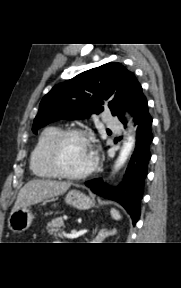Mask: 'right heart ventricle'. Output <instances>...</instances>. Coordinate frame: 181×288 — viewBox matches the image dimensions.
Here are the masks:
<instances>
[{
    "mask_svg": "<svg viewBox=\"0 0 181 288\" xmlns=\"http://www.w3.org/2000/svg\"><path fill=\"white\" fill-rule=\"evenodd\" d=\"M59 131L60 129L56 126H50L45 128L41 132L32 150L30 156V170L38 178L55 179L60 177L52 169L48 161L49 146Z\"/></svg>",
    "mask_w": 181,
    "mask_h": 288,
    "instance_id": "e07e8e85",
    "label": "right heart ventricle"
}]
</instances>
